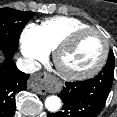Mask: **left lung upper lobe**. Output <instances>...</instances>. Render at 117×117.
Masks as SVG:
<instances>
[{"mask_svg": "<svg viewBox=\"0 0 117 117\" xmlns=\"http://www.w3.org/2000/svg\"><path fill=\"white\" fill-rule=\"evenodd\" d=\"M114 65H115V58H114V54H113V51L110 50L109 52V57H108V60H107V63L105 65V67H108V69L111 71L112 73V76L114 74Z\"/></svg>", "mask_w": 117, "mask_h": 117, "instance_id": "left-lung-upper-lobe-1", "label": "left lung upper lobe"}]
</instances>
